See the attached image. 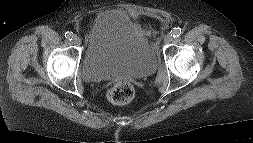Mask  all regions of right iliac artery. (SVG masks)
I'll list each match as a JSON object with an SVG mask.
<instances>
[{
    "label": "right iliac artery",
    "mask_w": 253,
    "mask_h": 143,
    "mask_svg": "<svg viewBox=\"0 0 253 143\" xmlns=\"http://www.w3.org/2000/svg\"><path fill=\"white\" fill-rule=\"evenodd\" d=\"M65 37H66L67 39H69V40H72V39H73V33L67 31V32L65 33Z\"/></svg>",
    "instance_id": "obj_1"
}]
</instances>
